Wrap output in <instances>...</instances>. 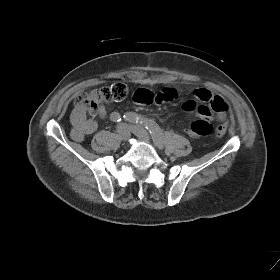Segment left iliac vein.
Returning a JSON list of instances; mask_svg holds the SVG:
<instances>
[{"mask_svg":"<svg viewBox=\"0 0 280 280\" xmlns=\"http://www.w3.org/2000/svg\"><path fill=\"white\" fill-rule=\"evenodd\" d=\"M130 130L132 131L133 134H135L139 139L149 142L150 141V135L149 133L141 126L139 125H130L129 126ZM160 147H162V143H158Z\"/></svg>","mask_w":280,"mask_h":280,"instance_id":"1","label":"left iliac vein"}]
</instances>
